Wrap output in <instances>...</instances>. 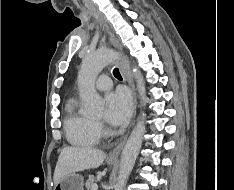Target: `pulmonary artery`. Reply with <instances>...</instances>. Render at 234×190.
Returning a JSON list of instances; mask_svg holds the SVG:
<instances>
[{"instance_id": "1", "label": "pulmonary artery", "mask_w": 234, "mask_h": 190, "mask_svg": "<svg viewBox=\"0 0 234 190\" xmlns=\"http://www.w3.org/2000/svg\"><path fill=\"white\" fill-rule=\"evenodd\" d=\"M95 84L99 90H107L111 87V81L108 76L99 77Z\"/></svg>"}]
</instances>
